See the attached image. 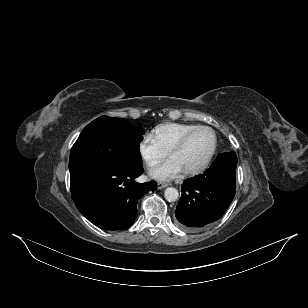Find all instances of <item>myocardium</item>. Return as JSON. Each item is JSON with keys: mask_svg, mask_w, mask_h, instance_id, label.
<instances>
[{"mask_svg": "<svg viewBox=\"0 0 308 308\" xmlns=\"http://www.w3.org/2000/svg\"><path fill=\"white\" fill-rule=\"evenodd\" d=\"M201 130H208L212 133V135H213V146H212V149H211L209 155L207 156V158L201 164H199L198 166H196L194 168H191V169L184 171V173L186 175L198 174V173L204 171L210 165V163L212 162V160H213V158L216 154L217 147H218V137H217V134L214 131V129H212L209 126L200 125V126L194 128V129L188 131L187 133H185L168 151V154L171 156L172 153L182 149L186 145V143L189 141V139L195 133H197Z\"/></svg>", "mask_w": 308, "mask_h": 308, "instance_id": "obj_1", "label": "myocardium"}]
</instances>
